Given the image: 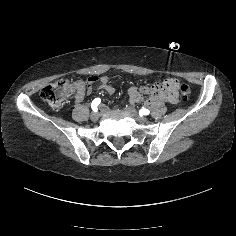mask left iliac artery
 Segmentation results:
<instances>
[{
    "mask_svg": "<svg viewBox=\"0 0 236 236\" xmlns=\"http://www.w3.org/2000/svg\"><path fill=\"white\" fill-rule=\"evenodd\" d=\"M150 113V111L146 108H142L140 111H139V115L140 116H143V115H148Z\"/></svg>",
    "mask_w": 236,
    "mask_h": 236,
    "instance_id": "left-iliac-artery-1",
    "label": "left iliac artery"
}]
</instances>
